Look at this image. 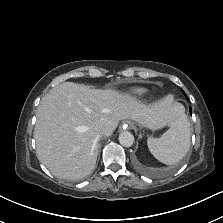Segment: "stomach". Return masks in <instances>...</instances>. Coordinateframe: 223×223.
Listing matches in <instances>:
<instances>
[{
	"label": "stomach",
	"instance_id": "0dacf381",
	"mask_svg": "<svg viewBox=\"0 0 223 223\" xmlns=\"http://www.w3.org/2000/svg\"><path fill=\"white\" fill-rule=\"evenodd\" d=\"M137 123H138V126H139V127H142V126H143V125H142V124H140L139 122H137Z\"/></svg>",
	"mask_w": 223,
	"mask_h": 223
}]
</instances>
